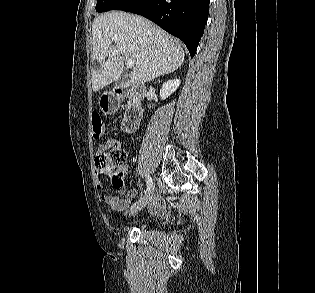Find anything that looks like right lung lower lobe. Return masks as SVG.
Here are the masks:
<instances>
[{"instance_id":"right-lung-lower-lobe-1","label":"right lung lower lobe","mask_w":315,"mask_h":293,"mask_svg":"<svg viewBox=\"0 0 315 293\" xmlns=\"http://www.w3.org/2000/svg\"><path fill=\"white\" fill-rule=\"evenodd\" d=\"M210 0H121L112 10L142 15L180 38L191 57L204 33Z\"/></svg>"}]
</instances>
